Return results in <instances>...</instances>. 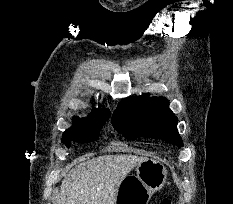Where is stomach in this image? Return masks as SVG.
<instances>
[{"instance_id": "stomach-1", "label": "stomach", "mask_w": 233, "mask_h": 204, "mask_svg": "<svg viewBox=\"0 0 233 204\" xmlns=\"http://www.w3.org/2000/svg\"><path fill=\"white\" fill-rule=\"evenodd\" d=\"M167 180V170L158 160L144 158L136 165V175L125 177L118 187L114 204H148Z\"/></svg>"}]
</instances>
